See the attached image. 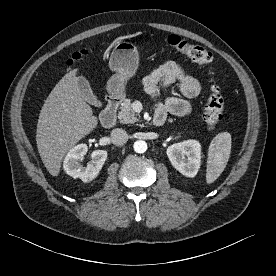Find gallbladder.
I'll return each instance as SVG.
<instances>
[{
  "label": "gallbladder",
  "instance_id": "obj_1",
  "mask_svg": "<svg viewBox=\"0 0 276 276\" xmlns=\"http://www.w3.org/2000/svg\"><path fill=\"white\" fill-rule=\"evenodd\" d=\"M75 81L80 90L82 98L91 105H97L99 101L93 94V91L86 78L79 76Z\"/></svg>",
  "mask_w": 276,
  "mask_h": 276
}]
</instances>
